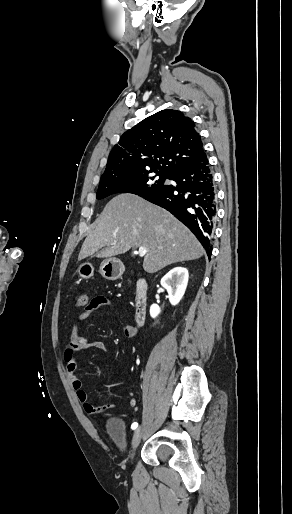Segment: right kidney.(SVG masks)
Wrapping results in <instances>:
<instances>
[{
	"label": "right kidney",
	"instance_id": "ca27d5eb",
	"mask_svg": "<svg viewBox=\"0 0 292 514\" xmlns=\"http://www.w3.org/2000/svg\"><path fill=\"white\" fill-rule=\"evenodd\" d=\"M188 278V270H186V268H181V266L173 268V270H170V272L162 278L161 286L167 290L169 302L172 306L179 304L181 298H183L187 288ZM160 312L161 310L157 304H152V306H150L151 318H156Z\"/></svg>",
	"mask_w": 292,
	"mask_h": 514
}]
</instances>
